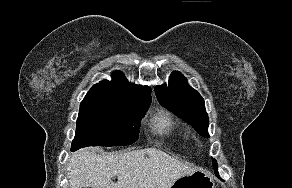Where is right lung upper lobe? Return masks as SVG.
Masks as SVG:
<instances>
[{"mask_svg": "<svg viewBox=\"0 0 292 188\" xmlns=\"http://www.w3.org/2000/svg\"><path fill=\"white\" fill-rule=\"evenodd\" d=\"M112 76H113L112 81L103 80L102 82L94 85L92 88L122 92L129 94L138 100L151 102L150 96L151 90L149 87L136 84H129L128 80L120 71H115Z\"/></svg>", "mask_w": 292, "mask_h": 188, "instance_id": "cb5924a9", "label": "right lung upper lobe"}]
</instances>
